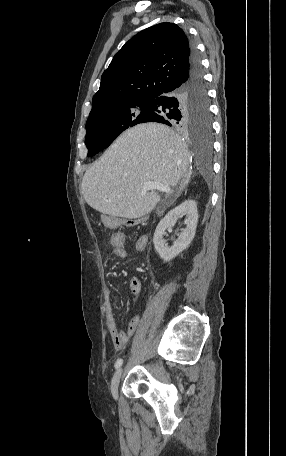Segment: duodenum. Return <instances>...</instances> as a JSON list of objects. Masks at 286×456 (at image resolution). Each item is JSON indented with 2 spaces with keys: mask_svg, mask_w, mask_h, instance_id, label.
<instances>
[{
  "mask_svg": "<svg viewBox=\"0 0 286 456\" xmlns=\"http://www.w3.org/2000/svg\"><path fill=\"white\" fill-rule=\"evenodd\" d=\"M122 223L126 226H134L135 220L134 219H121Z\"/></svg>",
  "mask_w": 286,
  "mask_h": 456,
  "instance_id": "duodenum-1",
  "label": "duodenum"
}]
</instances>
